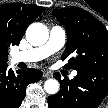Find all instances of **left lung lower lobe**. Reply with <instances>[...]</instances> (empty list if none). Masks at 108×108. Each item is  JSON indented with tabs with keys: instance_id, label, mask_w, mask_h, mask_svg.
<instances>
[{
	"instance_id": "0a47b994",
	"label": "left lung lower lobe",
	"mask_w": 108,
	"mask_h": 108,
	"mask_svg": "<svg viewBox=\"0 0 108 108\" xmlns=\"http://www.w3.org/2000/svg\"><path fill=\"white\" fill-rule=\"evenodd\" d=\"M57 94L48 97L49 108H97L108 91V69L78 72L72 80H61Z\"/></svg>"
}]
</instances>
